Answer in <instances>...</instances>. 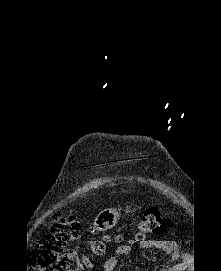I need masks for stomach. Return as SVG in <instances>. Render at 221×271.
Returning a JSON list of instances; mask_svg holds the SVG:
<instances>
[{"label":"stomach","instance_id":"obj_1","mask_svg":"<svg viewBox=\"0 0 221 271\" xmlns=\"http://www.w3.org/2000/svg\"><path fill=\"white\" fill-rule=\"evenodd\" d=\"M119 219V213L115 207L112 209H103L94 219V227L98 231H103V229H109V227H114Z\"/></svg>","mask_w":221,"mask_h":271}]
</instances>
